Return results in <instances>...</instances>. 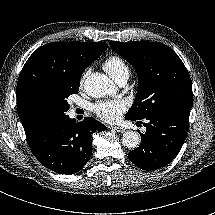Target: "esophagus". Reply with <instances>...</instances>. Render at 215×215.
I'll list each match as a JSON object with an SVG mask.
<instances>
[{"label":"esophagus","mask_w":215,"mask_h":215,"mask_svg":"<svg viewBox=\"0 0 215 215\" xmlns=\"http://www.w3.org/2000/svg\"><path fill=\"white\" fill-rule=\"evenodd\" d=\"M109 128L114 130V131H116V132H118V133L125 132V129L123 127H121V126H110Z\"/></svg>","instance_id":"34e87169"}]
</instances>
